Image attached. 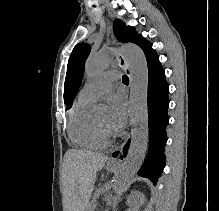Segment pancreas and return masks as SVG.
Segmentation results:
<instances>
[{
    "mask_svg": "<svg viewBox=\"0 0 219 211\" xmlns=\"http://www.w3.org/2000/svg\"><path fill=\"white\" fill-rule=\"evenodd\" d=\"M99 200H90V202L87 204L86 211H97V205H99Z\"/></svg>",
    "mask_w": 219,
    "mask_h": 211,
    "instance_id": "pancreas-1",
    "label": "pancreas"
}]
</instances>
